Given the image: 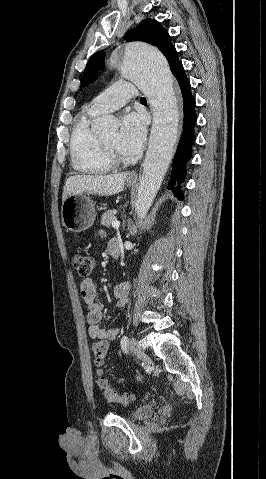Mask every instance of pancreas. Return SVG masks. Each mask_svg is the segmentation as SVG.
<instances>
[{"label": "pancreas", "instance_id": "pancreas-1", "mask_svg": "<svg viewBox=\"0 0 266 479\" xmlns=\"http://www.w3.org/2000/svg\"><path fill=\"white\" fill-rule=\"evenodd\" d=\"M116 220L115 211L107 210L101 218V224L108 227Z\"/></svg>", "mask_w": 266, "mask_h": 479}]
</instances>
